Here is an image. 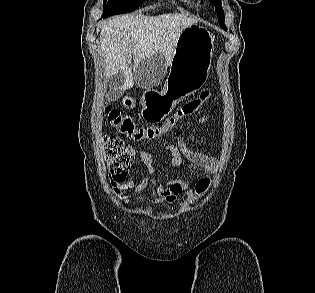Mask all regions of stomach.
Returning a JSON list of instances; mask_svg holds the SVG:
<instances>
[{"mask_svg":"<svg viewBox=\"0 0 315 293\" xmlns=\"http://www.w3.org/2000/svg\"><path fill=\"white\" fill-rule=\"evenodd\" d=\"M214 51V37L206 28L193 24L180 34L170 72L161 92L146 93L142 101V117L158 122L170 114L176 104L195 93L207 81ZM139 98L124 99L127 108L137 105Z\"/></svg>","mask_w":315,"mask_h":293,"instance_id":"stomach-1","label":"stomach"}]
</instances>
